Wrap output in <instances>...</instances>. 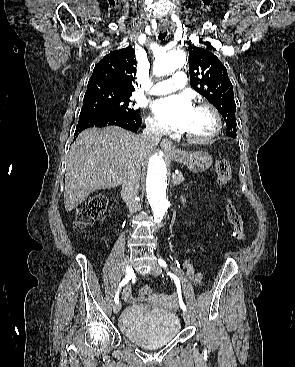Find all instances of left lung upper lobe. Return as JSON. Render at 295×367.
Masks as SVG:
<instances>
[{"label": "left lung upper lobe", "instance_id": "left-lung-upper-lobe-1", "mask_svg": "<svg viewBox=\"0 0 295 367\" xmlns=\"http://www.w3.org/2000/svg\"><path fill=\"white\" fill-rule=\"evenodd\" d=\"M190 84L213 104L226 122V135L236 138V104L225 66L211 52L189 43Z\"/></svg>", "mask_w": 295, "mask_h": 367}]
</instances>
